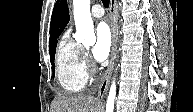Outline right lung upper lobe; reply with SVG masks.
Here are the masks:
<instances>
[{"label":"right lung upper lobe","instance_id":"cb5924a9","mask_svg":"<svg viewBox=\"0 0 193 112\" xmlns=\"http://www.w3.org/2000/svg\"><path fill=\"white\" fill-rule=\"evenodd\" d=\"M58 4V10L52 25V30L50 31L49 49L53 48L57 43V38L60 36L70 19L67 1L61 0Z\"/></svg>","mask_w":193,"mask_h":112}]
</instances>
